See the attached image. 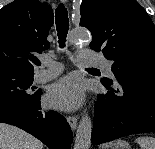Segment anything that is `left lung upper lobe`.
<instances>
[{"label":"left lung upper lobe","mask_w":155,"mask_h":149,"mask_svg":"<svg viewBox=\"0 0 155 149\" xmlns=\"http://www.w3.org/2000/svg\"><path fill=\"white\" fill-rule=\"evenodd\" d=\"M80 13L91 49L113 61L115 77L129 67H155L154 24L136 0H82Z\"/></svg>","instance_id":"obj_1"}]
</instances>
